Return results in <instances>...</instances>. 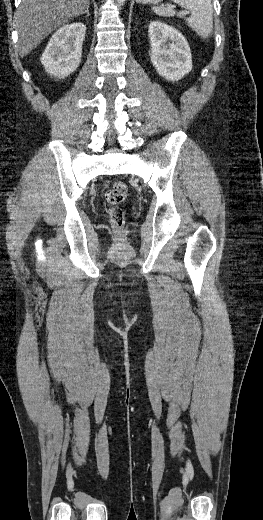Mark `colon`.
Returning <instances> with one entry per match:
<instances>
[{
    "label": "colon",
    "mask_w": 263,
    "mask_h": 520,
    "mask_svg": "<svg viewBox=\"0 0 263 520\" xmlns=\"http://www.w3.org/2000/svg\"><path fill=\"white\" fill-rule=\"evenodd\" d=\"M128 195V186L122 181L114 182L105 193L108 215L112 226L121 229L125 223V212L121 204Z\"/></svg>",
    "instance_id": "5ec220e1"
}]
</instances>
